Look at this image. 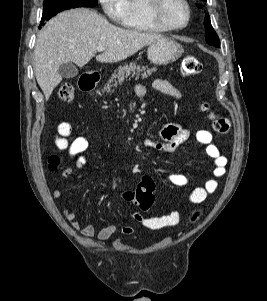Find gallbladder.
Returning <instances> with one entry per match:
<instances>
[{"instance_id":"1","label":"gallbladder","mask_w":267,"mask_h":301,"mask_svg":"<svg viewBox=\"0 0 267 301\" xmlns=\"http://www.w3.org/2000/svg\"><path fill=\"white\" fill-rule=\"evenodd\" d=\"M58 73L61 75V77L70 79L78 75V69L74 63L69 62L60 65L58 68Z\"/></svg>"}]
</instances>
